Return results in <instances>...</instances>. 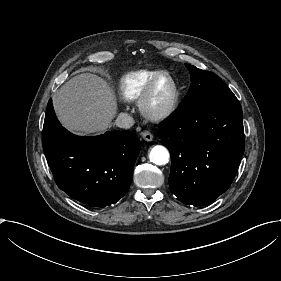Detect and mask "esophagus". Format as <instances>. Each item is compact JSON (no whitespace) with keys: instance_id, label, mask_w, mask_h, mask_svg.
<instances>
[{"instance_id":"obj_1","label":"esophagus","mask_w":281,"mask_h":281,"mask_svg":"<svg viewBox=\"0 0 281 281\" xmlns=\"http://www.w3.org/2000/svg\"><path fill=\"white\" fill-rule=\"evenodd\" d=\"M141 136H142V138L145 140V141H147V142H150V141H152L153 140V135L149 132V131H143L142 133H141Z\"/></svg>"}]
</instances>
